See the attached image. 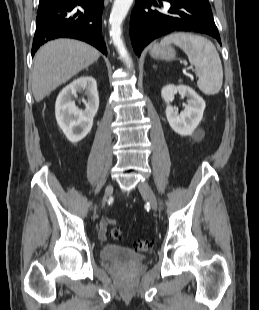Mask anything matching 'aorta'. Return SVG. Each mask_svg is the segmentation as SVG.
Segmentation results:
<instances>
[{"label":"aorta","instance_id":"762f6f07","mask_svg":"<svg viewBox=\"0 0 259 310\" xmlns=\"http://www.w3.org/2000/svg\"><path fill=\"white\" fill-rule=\"evenodd\" d=\"M133 0H115L111 10L109 23L111 26L110 36L113 44L116 47L119 55L126 60L129 68L132 67L131 59L129 58L126 47L121 38L122 35V22L125 19Z\"/></svg>","mask_w":259,"mask_h":310}]
</instances>
